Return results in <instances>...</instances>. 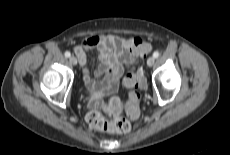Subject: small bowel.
Segmentation results:
<instances>
[{
    "label": "small bowel",
    "instance_id": "1",
    "mask_svg": "<svg viewBox=\"0 0 230 155\" xmlns=\"http://www.w3.org/2000/svg\"><path fill=\"white\" fill-rule=\"evenodd\" d=\"M132 39L122 38L116 35L105 34L87 37L81 45L74 47V53L83 72V81L90 92V106L101 108L110 114H118L110 110L106 102L100 100V96L106 93L115 92L119 87L122 77L125 87H131L127 80V68L134 57L130 55L129 47ZM96 50L100 63L94 73L91 74L87 68V53ZM134 55V54H133Z\"/></svg>",
    "mask_w": 230,
    "mask_h": 155
}]
</instances>
